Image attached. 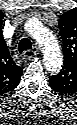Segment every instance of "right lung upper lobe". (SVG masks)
I'll list each match as a JSON object with an SVG mask.
<instances>
[{
  "mask_svg": "<svg viewBox=\"0 0 77 125\" xmlns=\"http://www.w3.org/2000/svg\"><path fill=\"white\" fill-rule=\"evenodd\" d=\"M0 66V74L6 86V91L15 88L22 75V69L14 63L7 48H5V55L2 57Z\"/></svg>",
  "mask_w": 77,
  "mask_h": 125,
  "instance_id": "obj_1",
  "label": "right lung upper lobe"
}]
</instances>
